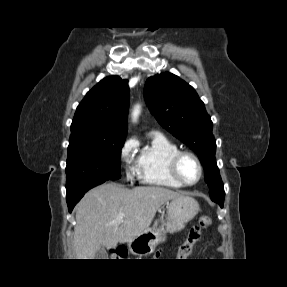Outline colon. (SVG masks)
<instances>
[{"instance_id": "1", "label": "colon", "mask_w": 287, "mask_h": 287, "mask_svg": "<svg viewBox=\"0 0 287 287\" xmlns=\"http://www.w3.org/2000/svg\"><path fill=\"white\" fill-rule=\"evenodd\" d=\"M211 218L208 215L201 214L189 232L187 239L178 248V257L182 260L189 258L193 252L194 246L202 239L204 231L211 226ZM115 256L124 257L126 250L123 247H118Z\"/></svg>"}]
</instances>
